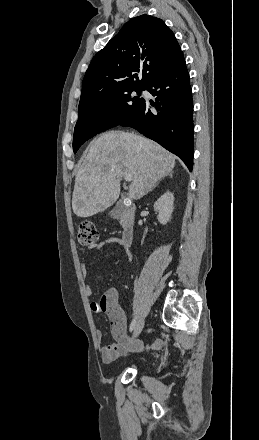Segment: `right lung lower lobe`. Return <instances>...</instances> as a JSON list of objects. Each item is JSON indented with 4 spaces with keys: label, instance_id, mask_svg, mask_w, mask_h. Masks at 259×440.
Returning <instances> with one entry per match:
<instances>
[{
    "label": "right lung lower lobe",
    "instance_id": "obj_1",
    "mask_svg": "<svg viewBox=\"0 0 259 440\" xmlns=\"http://www.w3.org/2000/svg\"><path fill=\"white\" fill-rule=\"evenodd\" d=\"M156 103L142 102L121 126L135 128L144 136L180 157L190 171L193 166V102L189 73L181 54L158 72L146 87ZM153 106L157 113L151 112Z\"/></svg>",
    "mask_w": 259,
    "mask_h": 440
}]
</instances>
